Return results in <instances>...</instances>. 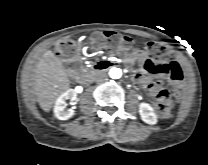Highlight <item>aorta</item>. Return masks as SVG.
Wrapping results in <instances>:
<instances>
[{
    "label": "aorta",
    "instance_id": "1",
    "mask_svg": "<svg viewBox=\"0 0 208 165\" xmlns=\"http://www.w3.org/2000/svg\"><path fill=\"white\" fill-rule=\"evenodd\" d=\"M109 76L112 79H119L122 76V70L120 68L112 67L109 70Z\"/></svg>",
    "mask_w": 208,
    "mask_h": 165
}]
</instances>
